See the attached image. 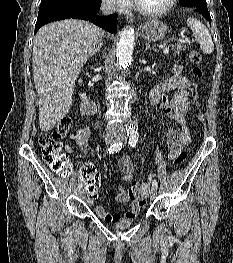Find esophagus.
Wrapping results in <instances>:
<instances>
[{
  "mask_svg": "<svg viewBox=\"0 0 233 263\" xmlns=\"http://www.w3.org/2000/svg\"><path fill=\"white\" fill-rule=\"evenodd\" d=\"M125 19H126V21L128 23H132L133 22V18L131 16H126Z\"/></svg>",
  "mask_w": 233,
  "mask_h": 263,
  "instance_id": "esophagus-1",
  "label": "esophagus"
}]
</instances>
